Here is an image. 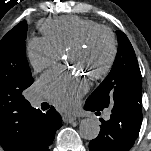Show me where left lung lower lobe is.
<instances>
[{
    "instance_id": "left-lung-lower-lobe-1",
    "label": "left lung lower lobe",
    "mask_w": 151,
    "mask_h": 151,
    "mask_svg": "<svg viewBox=\"0 0 151 151\" xmlns=\"http://www.w3.org/2000/svg\"><path fill=\"white\" fill-rule=\"evenodd\" d=\"M141 96V89L133 91L131 94V109L113 108L110 120L101 119L100 133L96 139L90 141V151L130 150L141 127ZM85 109L92 112L96 111V114L99 113V110H96L87 102Z\"/></svg>"
}]
</instances>
